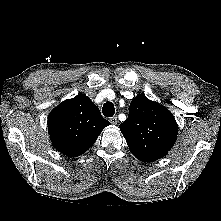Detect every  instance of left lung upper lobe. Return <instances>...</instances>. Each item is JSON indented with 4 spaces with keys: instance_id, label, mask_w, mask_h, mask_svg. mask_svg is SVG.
I'll list each match as a JSON object with an SVG mask.
<instances>
[{
    "instance_id": "obj_1",
    "label": "left lung upper lobe",
    "mask_w": 221,
    "mask_h": 221,
    "mask_svg": "<svg viewBox=\"0 0 221 221\" xmlns=\"http://www.w3.org/2000/svg\"><path fill=\"white\" fill-rule=\"evenodd\" d=\"M120 130L132 154L152 162L164 157L174 145L178 125L165 107L138 95L131 101L128 118L120 124Z\"/></svg>"
}]
</instances>
